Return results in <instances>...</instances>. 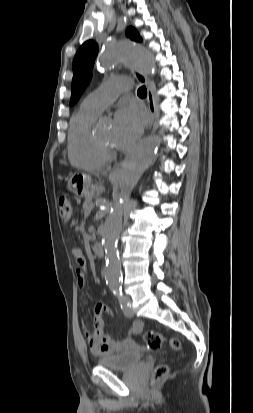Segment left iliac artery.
Masks as SVG:
<instances>
[{"mask_svg":"<svg viewBox=\"0 0 253 413\" xmlns=\"http://www.w3.org/2000/svg\"><path fill=\"white\" fill-rule=\"evenodd\" d=\"M114 295L118 298L121 309L129 305L127 298L123 295L121 288L113 290Z\"/></svg>","mask_w":253,"mask_h":413,"instance_id":"1","label":"left iliac artery"}]
</instances>
